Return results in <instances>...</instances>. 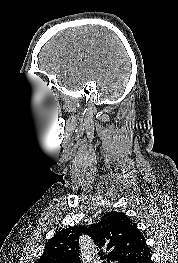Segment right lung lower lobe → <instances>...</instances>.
<instances>
[{"mask_svg": "<svg viewBox=\"0 0 178 263\" xmlns=\"http://www.w3.org/2000/svg\"><path fill=\"white\" fill-rule=\"evenodd\" d=\"M137 263H152L151 254L148 252L142 259H140Z\"/></svg>", "mask_w": 178, "mask_h": 263, "instance_id": "1", "label": "right lung lower lobe"}]
</instances>
